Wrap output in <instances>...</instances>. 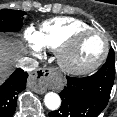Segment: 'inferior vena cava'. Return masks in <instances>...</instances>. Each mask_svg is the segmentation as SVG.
<instances>
[{"label": "inferior vena cava", "mask_w": 117, "mask_h": 117, "mask_svg": "<svg viewBox=\"0 0 117 117\" xmlns=\"http://www.w3.org/2000/svg\"><path fill=\"white\" fill-rule=\"evenodd\" d=\"M17 66L24 71L30 72L38 67V62L29 57H22L18 60Z\"/></svg>", "instance_id": "obj_1"}]
</instances>
